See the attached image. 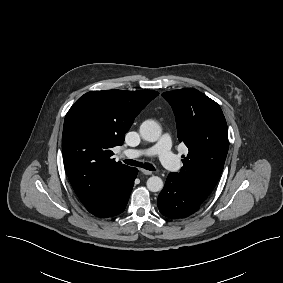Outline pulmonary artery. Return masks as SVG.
Segmentation results:
<instances>
[{"mask_svg": "<svg viewBox=\"0 0 283 283\" xmlns=\"http://www.w3.org/2000/svg\"><path fill=\"white\" fill-rule=\"evenodd\" d=\"M123 155L134 159L141 156H158L161 164L169 169L176 170L180 166L178 157L171 151V138L169 134H164L159 141L146 149L126 150Z\"/></svg>", "mask_w": 283, "mask_h": 283, "instance_id": "1", "label": "pulmonary artery"}]
</instances>
